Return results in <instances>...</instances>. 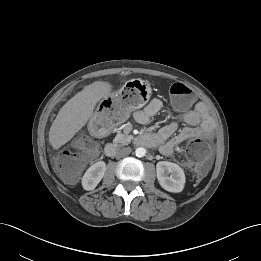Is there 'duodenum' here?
Masks as SVG:
<instances>
[{
  "label": "duodenum",
  "mask_w": 261,
  "mask_h": 261,
  "mask_svg": "<svg viewBox=\"0 0 261 261\" xmlns=\"http://www.w3.org/2000/svg\"><path fill=\"white\" fill-rule=\"evenodd\" d=\"M135 143L139 146L152 147L155 144L154 137L149 134H140L135 138ZM117 151V145L115 143H108L104 148L106 156L111 157Z\"/></svg>",
  "instance_id": "obj_1"
}]
</instances>
